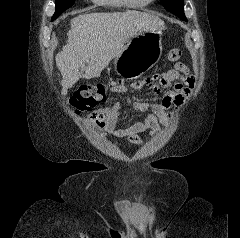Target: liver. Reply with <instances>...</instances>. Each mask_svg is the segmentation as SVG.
<instances>
[{"label": "liver", "instance_id": "liver-1", "mask_svg": "<svg viewBox=\"0 0 240 238\" xmlns=\"http://www.w3.org/2000/svg\"><path fill=\"white\" fill-rule=\"evenodd\" d=\"M164 29V22L159 17L135 10L74 17L67 44L55 58L62 75V95L65 96L79 80L81 67L86 65V79L98 77L131 38L146 31Z\"/></svg>", "mask_w": 240, "mask_h": 238}]
</instances>
